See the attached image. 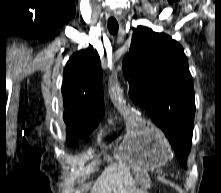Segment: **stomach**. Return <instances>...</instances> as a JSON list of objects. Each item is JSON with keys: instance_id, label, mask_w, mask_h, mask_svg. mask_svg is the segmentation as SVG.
Wrapping results in <instances>:
<instances>
[{"instance_id": "stomach-1", "label": "stomach", "mask_w": 221, "mask_h": 193, "mask_svg": "<svg viewBox=\"0 0 221 193\" xmlns=\"http://www.w3.org/2000/svg\"><path fill=\"white\" fill-rule=\"evenodd\" d=\"M111 103L118 107V112L124 113L126 123H129L132 129L131 133H128L131 142H127L118 164H121V167H133L135 177H138V182L142 185L141 189H145L143 182H146L147 172L151 171L150 167H161L165 164V159H168V142H164L157 125H151L148 120H143V115H137L133 107H127V102H123V98H111Z\"/></svg>"}]
</instances>
